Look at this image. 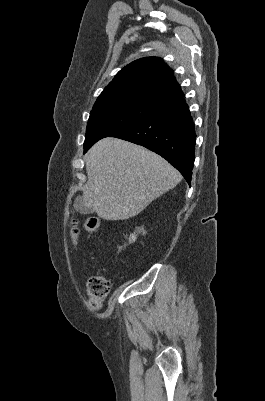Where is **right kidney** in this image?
<instances>
[{"label":"right kidney","mask_w":265,"mask_h":401,"mask_svg":"<svg viewBox=\"0 0 265 401\" xmlns=\"http://www.w3.org/2000/svg\"><path fill=\"white\" fill-rule=\"evenodd\" d=\"M141 233H144V231H141ZM136 237L137 235H135V233H132V235H130L129 237L130 243H134V241H136Z\"/></svg>","instance_id":"right-kidney-1"}]
</instances>
